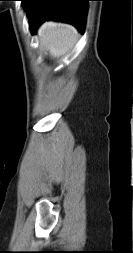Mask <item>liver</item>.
I'll return each instance as SVG.
<instances>
[{
	"instance_id": "liver-1",
	"label": "liver",
	"mask_w": 133,
	"mask_h": 253,
	"mask_svg": "<svg viewBox=\"0 0 133 253\" xmlns=\"http://www.w3.org/2000/svg\"><path fill=\"white\" fill-rule=\"evenodd\" d=\"M38 35L41 45L53 59L66 55L78 40V32L73 26L52 21L42 24Z\"/></svg>"
}]
</instances>
